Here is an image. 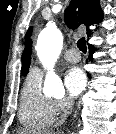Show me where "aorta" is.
Wrapping results in <instances>:
<instances>
[{
	"label": "aorta",
	"mask_w": 116,
	"mask_h": 134,
	"mask_svg": "<svg viewBox=\"0 0 116 134\" xmlns=\"http://www.w3.org/2000/svg\"><path fill=\"white\" fill-rule=\"evenodd\" d=\"M63 37L54 24H48L38 36L36 51L43 65L48 67L44 90L52 95L64 94L61 78L52 70V64L61 53Z\"/></svg>",
	"instance_id": "762f6f07"
}]
</instances>
